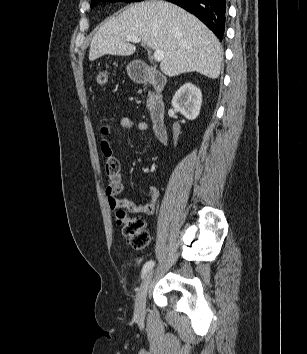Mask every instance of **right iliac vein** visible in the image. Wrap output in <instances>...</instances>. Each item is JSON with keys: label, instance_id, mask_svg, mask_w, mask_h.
Masks as SVG:
<instances>
[{"label": "right iliac vein", "instance_id": "obj_1", "mask_svg": "<svg viewBox=\"0 0 307 354\" xmlns=\"http://www.w3.org/2000/svg\"><path fill=\"white\" fill-rule=\"evenodd\" d=\"M153 277V271L149 272L144 278L138 291L135 302V314L138 319L142 320L145 316L146 296Z\"/></svg>", "mask_w": 307, "mask_h": 354}]
</instances>
